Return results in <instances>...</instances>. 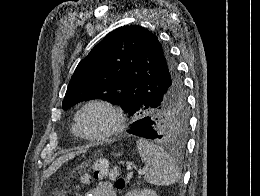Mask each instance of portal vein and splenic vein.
Wrapping results in <instances>:
<instances>
[{
	"mask_svg": "<svg viewBox=\"0 0 260 196\" xmlns=\"http://www.w3.org/2000/svg\"><path fill=\"white\" fill-rule=\"evenodd\" d=\"M127 164V170H137L136 166H134L133 162H126ZM148 170H138V174H146Z\"/></svg>",
	"mask_w": 260,
	"mask_h": 196,
	"instance_id": "1",
	"label": "portal vein and splenic vein"
}]
</instances>
